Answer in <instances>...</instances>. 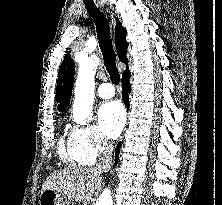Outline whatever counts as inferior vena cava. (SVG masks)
I'll return each instance as SVG.
<instances>
[{
	"label": "inferior vena cava",
	"instance_id": "inferior-vena-cava-1",
	"mask_svg": "<svg viewBox=\"0 0 222 205\" xmlns=\"http://www.w3.org/2000/svg\"><path fill=\"white\" fill-rule=\"evenodd\" d=\"M113 144L109 141H104L102 148L100 150V157L98 164L94 168V171L98 173L107 172L112 166V154H113Z\"/></svg>",
	"mask_w": 222,
	"mask_h": 205
}]
</instances>
